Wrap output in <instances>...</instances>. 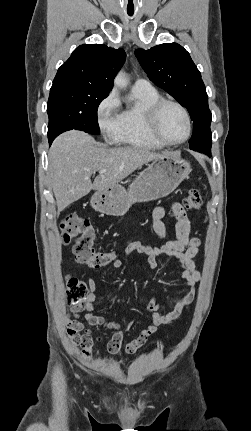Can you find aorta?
<instances>
[{
    "mask_svg": "<svg viewBox=\"0 0 251 431\" xmlns=\"http://www.w3.org/2000/svg\"><path fill=\"white\" fill-rule=\"evenodd\" d=\"M114 84H115V86L120 87V88H124L127 86L128 80L126 78V74L124 71L121 70L116 75L115 80H114Z\"/></svg>",
    "mask_w": 251,
    "mask_h": 431,
    "instance_id": "obj_1",
    "label": "aorta"
}]
</instances>
